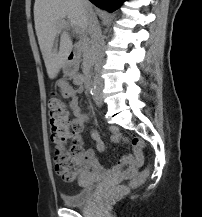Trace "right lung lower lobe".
Masks as SVG:
<instances>
[{"label":"right lung lower lobe","instance_id":"right-lung-lower-lobe-1","mask_svg":"<svg viewBox=\"0 0 202 217\" xmlns=\"http://www.w3.org/2000/svg\"><path fill=\"white\" fill-rule=\"evenodd\" d=\"M94 5L101 9L113 12L116 10L124 0H90Z\"/></svg>","mask_w":202,"mask_h":217}]
</instances>
